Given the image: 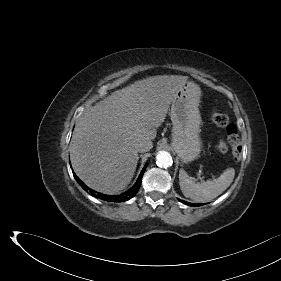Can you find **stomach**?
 I'll use <instances>...</instances> for the list:
<instances>
[{
	"label": "stomach",
	"instance_id": "stomach-1",
	"mask_svg": "<svg viewBox=\"0 0 281 281\" xmlns=\"http://www.w3.org/2000/svg\"><path fill=\"white\" fill-rule=\"evenodd\" d=\"M200 87L193 81H186L174 94L170 117L173 124V150L183 163H189L199 157L201 140L199 137L201 115L199 103Z\"/></svg>",
	"mask_w": 281,
	"mask_h": 281
}]
</instances>
